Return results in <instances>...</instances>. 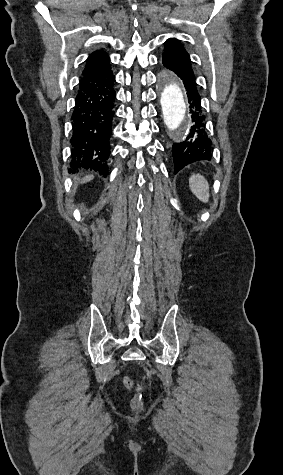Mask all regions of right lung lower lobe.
<instances>
[{
  "instance_id": "98d812e1",
  "label": "right lung lower lobe",
  "mask_w": 283,
  "mask_h": 475,
  "mask_svg": "<svg viewBox=\"0 0 283 475\" xmlns=\"http://www.w3.org/2000/svg\"><path fill=\"white\" fill-rule=\"evenodd\" d=\"M114 82L111 68L98 73L81 74L71 117L70 164L74 170L84 167L107 176L109 140L115 113Z\"/></svg>"
}]
</instances>
